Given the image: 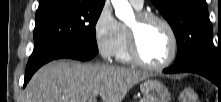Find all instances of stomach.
<instances>
[{
  "label": "stomach",
  "mask_w": 221,
  "mask_h": 102,
  "mask_svg": "<svg viewBox=\"0 0 221 102\" xmlns=\"http://www.w3.org/2000/svg\"><path fill=\"white\" fill-rule=\"evenodd\" d=\"M140 88L145 102H170L171 100L168 88L157 80H145Z\"/></svg>",
  "instance_id": "1"
}]
</instances>
